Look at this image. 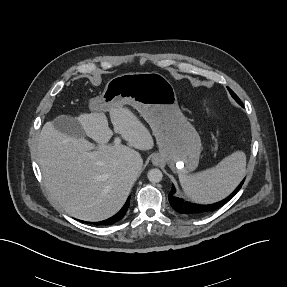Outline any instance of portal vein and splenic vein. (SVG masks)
<instances>
[{
    "mask_svg": "<svg viewBox=\"0 0 287 287\" xmlns=\"http://www.w3.org/2000/svg\"><path fill=\"white\" fill-rule=\"evenodd\" d=\"M115 145H118L121 143V139L119 137H116L114 140Z\"/></svg>",
    "mask_w": 287,
    "mask_h": 287,
    "instance_id": "obj_1",
    "label": "portal vein and splenic vein"
}]
</instances>
